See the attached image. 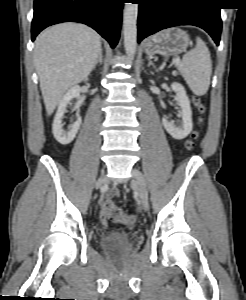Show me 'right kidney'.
<instances>
[{"label": "right kidney", "instance_id": "ca27d5eb", "mask_svg": "<svg viewBox=\"0 0 246 300\" xmlns=\"http://www.w3.org/2000/svg\"><path fill=\"white\" fill-rule=\"evenodd\" d=\"M79 96L80 87L78 85H74L63 96L62 100L59 103L57 113L54 117L52 125L53 135L55 139L62 145H67L73 141L82 123L81 117L78 116L77 120L72 124L69 131H64L62 128V118L64 113L66 112L67 104L70 103L72 99L78 98Z\"/></svg>", "mask_w": 246, "mask_h": 300}]
</instances>
